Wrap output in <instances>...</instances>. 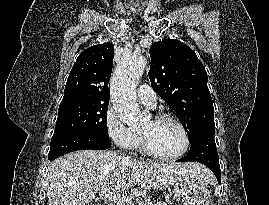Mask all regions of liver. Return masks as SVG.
Listing matches in <instances>:
<instances>
[{
	"label": "liver",
	"instance_id": "obj_1",
	"mask_svg": "<svg viewBox=\"0 0 269 205\" xmlns=\"http://www.w3.org/2000/svg\"><path fill=\"white\" fill-rule=\"evenodd\" d=\"M188 175L202 182L213 180L209 170L198 163H148L112 151L80 150L51 163L48 205H87L102 184H108L114 193L124 192L138 183L162 189Z\"/></svg>",
	"mask_w": 269,
	"mask_h": 205
}]
</instances>
